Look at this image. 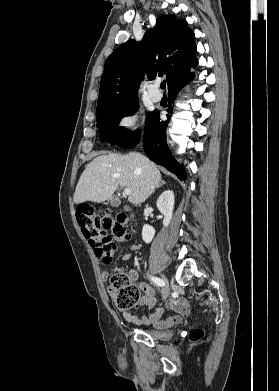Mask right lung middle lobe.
<instances>
[{
  "mask_svg": "<svg viewBox=\"0 0 279 391\" xmlns=\"http://www.w3.org/2000/svg\"><path fill=\"white\" fill-rule=\"evenodd\" d=\"M138 109V101L132 103L109 108L107 110L97 113V123L100 127V138L102 141H107L111 143L117 142L124 134L129 133V131L122 130L118 124L119 121L132 113H135ZM150 113L147 114V116Z\"/></svg>",
  "mask_w": 279,
  "mask_h": 391,
  "instance_id": "dd1d6c3e",
  "label": "right lung middle lobe"
}]
</instances>
